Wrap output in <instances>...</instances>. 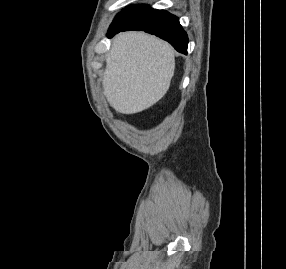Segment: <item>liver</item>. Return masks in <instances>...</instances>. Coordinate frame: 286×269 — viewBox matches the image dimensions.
I'll return each mask as SVG.
<instances>
[{"instance_id":"1","label":"liver","mask_w":286,"mask_h":269,"mask_svg":"<svg viewBox=\"0 0 286 269\" xmlns=\"http://www.w3.org/2000/svg\"><path fill=\"white\" fill-rule=\"evenodd\" d=\"M174 69L167 42L142 32L120 33L106 58L103 93L117 112H141L166 94Z\"/></svg>"}]
</instances>
